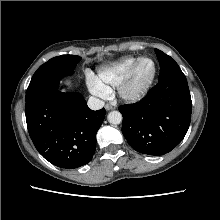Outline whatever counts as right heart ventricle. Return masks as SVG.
Here are the masks:
<instances>
[{"instance_id":"obj_1","label":"right heart ventricle","mask_w":220,"mask_h":220,"mask_svg":"<svg viewBox=\"0 0 220 220\" xmlns=\"http://www.w3.org/2000/svg\"><path fill=\"white\" fill-rule=\"evenodd\" d=\"M138 58L126 56L99 70L97 81L110 91L111 86L119 85Z\"/></svg>"}]
</instances>
